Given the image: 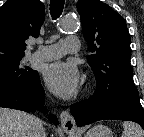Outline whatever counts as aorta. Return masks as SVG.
I'll return each mask as SVG.
<instances>
[{
  "label": "aorta",
  "instance_id": "1",
  "mask_svg": "<svg viewBox=\"0 0 144 137\" xmlns=\"http://www.w3.org/2000/svg\"><path fill=\"white\" fill-rule=\"evenodd\" d=\"M59 27L63 31H75L78 28V22L74 18H65L59 22Z\"/></svg>",
  "mask_w": 144,
  "mask_h": 137
}]
</instances>
